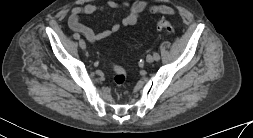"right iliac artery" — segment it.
Returning a JSON list of instances; mask_svg holds the SVG:
<instances>
[{
	"instance_id": "82829eb1",
	"label": "right iliac artery",
	"mask_w": 253,
	"mask_h": 138,
	"mask_svg": "<svg viewBox=\"0 0 253 138\" xmlns=\"http://www.w3.org/2000/svg\"><path fill=\"white\" fill-rule=\"evenodd\" d=\"M74 38H75V39H79V38H80V35H79L78 33H75V34H74Z\"/></svg>"
}]
</instances>
